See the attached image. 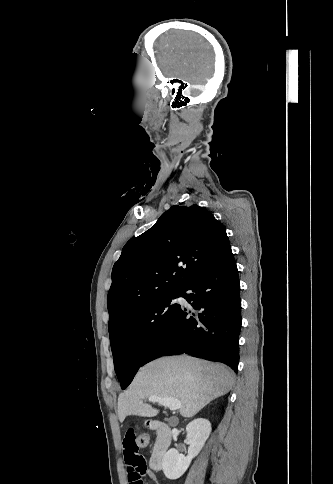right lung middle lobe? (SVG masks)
I'll use <instances>...</instances> for the list:
<instances>
[{
    "mask_svg": "<svg viewBox=\"0 0 333 484\" xmlns=\"http://www.w3.org/2000/svg\"><path fill=\"white\" fill-rule=\"evenodd\" d=\"M172 292L143 303L108 326L116 375L125 389L140 368L155 338L164 330L179 307Z\"/></svg>",
    "mask_w": 333,
    "mask_h": 484,
    "instance_id": "right-lung-middle-lobe-1",
    "label": "right lung middle lobe"
}]
</instances>
